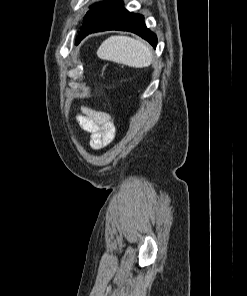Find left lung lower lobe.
<instances>
[{
  "mask_svg": "<svg viewBox=\"0 0 247 296\" xmlns=\"http://www.w3.org/2000/svg\"><path fill=\"white\" fill-rule=\"evenodd\" d=\"M83 22L76 44L88 34L106 30L130 31L147 40L154 48L157 44V37L146 27L144 17L124 9L121 0H105L93 6Z\"/></svg>",
  "mask_w": 247,
  "mask_h": 296,
  "instance_id": "left-lung-lower-lobe-1",
  "label": "left lung lower lobe"
}]
</instances>
